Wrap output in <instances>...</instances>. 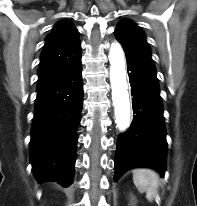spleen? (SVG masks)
<instances>
[{
	"mask_svg": "<svg viewBox=\"0 0 197 206\" xmlns=\"http://www.w3.org/2000/svg\"><path fill=\"white\" fill-rule=\"evenodd\" d=\"M133 182L138 191L146 193V198L152 202L158 191V174L151 169H136L133 172Z\"/></svg>",
	"mask_w": 197,
	"mask_h": 206,
	"instance_id": "3e777b00",
	"label": "spleen"
}]
</instances>
